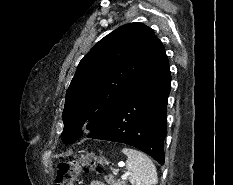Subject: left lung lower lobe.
<instances>
[{"mask_svg": "<svg viewBox=\"0 0 233 185\" xmlns=\"http://www.w3.org/2000/svg\"><path fill=\"white\" fill-rule=\"evenodd\" d=\"M171 75L165 55L126 93L110 119L88 137L126 143L164 164Z\"/></svg>", "mask_w": 233, "mask_h": 185, "instance_id": "1", "label": "left lung lower lobe"}]
</instances>
